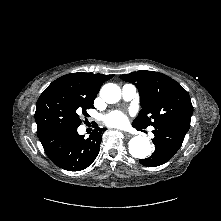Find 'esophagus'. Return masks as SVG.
<instances>
[{"label": "esophagus", "instance_id": "esophagus-1", "mask_svg": "<svg viewBox=\"0 0 221 221\" xmlns=\"http://www.w3.org/2000/svg\"><path fill=\"white\" fill-rule=\"evenodd\" d=\"M124 133V135L126 136V137H131V134L130 133H128V132H123Z\"/></svg>", "mask_w": 221, "mask_h": 221}]
</instances>
